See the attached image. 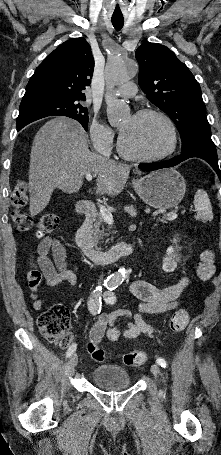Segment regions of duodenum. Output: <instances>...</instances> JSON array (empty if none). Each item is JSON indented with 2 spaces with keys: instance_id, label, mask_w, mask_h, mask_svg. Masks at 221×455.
Segmentation results:
<instances>
[{
  "instance_id": "obj_1",
  "label": "duodenum",
  "mask_w": 221,
  "mask_h": 455,
  "mask_svg": "<svg viewBox=\"0 0 221 455\" xmlns=\"http://www.w3.org/2000/svg\"><path fill=\"white\" fill-rule=\"evenodd\" d=\"M81 212L84 215V222L78 229L76 241L83 253L92 261L110 264L122 256L132 253V244L118 243L108 250H100L94 247L90 238V229L97 216V207L84 201L81 205Z\"/></svg>"
}]
</instances>
